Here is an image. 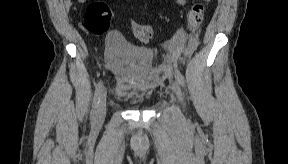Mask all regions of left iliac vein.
Returning a JSON list of instances; mask_svg holds the SVG:
<instances>
[{
	"mask_svg": "<svg viewBox=\"0 0 288 164\" xmlns=\"http://www.w3.org/2000/svg\"><path fill=\"white\" fill-rule=\"evenodd\" d=\"M172 88H173V91H174V93L178 99V102L180 104H182L183 103V95H182V91H181L179 84L177 82H173Z\"/></svg>",
	"mask_w": 288,
	"mask_h": 164,
	"instance_id": "left-iliac-vein-1",
	"label": "left iliac vein"
}]
</instances>
